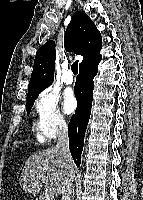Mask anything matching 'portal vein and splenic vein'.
Returning <instances> with one entry per match:
<instances>
[{"mask_svg":"<svg viewBox=\"0 0 143 200\" xmlns=\"http://www.w3.org/2000/svg\"><path fill=\"white\" fill-rule=\"evenodd\" d=\"M43 179H45V176L43 177ZM45 198H46V200H53L54 195L52 193H46Z\"/></svg>","mask_w":143,"mask_h":200,"instance_id":"portal-vein-and-splenic-vein-1","label":"portal vein and splenic vein"}]
</instances>
